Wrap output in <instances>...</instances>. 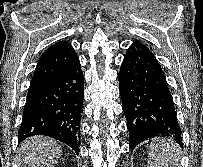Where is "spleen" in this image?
I'll return each mask as SVG.
<instances>
[{"instance_id":"spleen-1","label":"spleen","mask_w":203,"mask_h":167,"mask_svg":"<svg viewBox=\"0 0 203 167\" xmlns=\"http://www.w3.org/2000/svg\"><path fill=\"white\" fill-rule=\"evenodd\" d=\"M179 147L169 139L154 140L149 149L148 167H180Z\"/></svg>"}]
</instances>
